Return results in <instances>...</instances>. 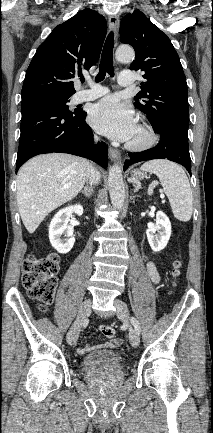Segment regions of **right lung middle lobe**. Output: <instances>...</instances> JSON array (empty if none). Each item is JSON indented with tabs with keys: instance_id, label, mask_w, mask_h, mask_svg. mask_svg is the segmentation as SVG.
<instances>
[{
	"instance_id": "1",
	"label": "right lung middle lobe",
	"mask_w": 213,
	"mask_h": 433,
	"mask_svg": "<svg viewBox=\"0 0 213 433\" xmlns=\"http://www.w3.org/2000/svg\"><path fill=\"white\" fill-rule=\"evenodd\" d=\"M70 96L71 95H59V94L46 93V92H37V93H33L30 95L24 96L22 98H32V99H37V100L49 102V103L57 105L62 110L66 111L68 113H72V114L79 113L80 110H78V109H75L74 111L69 110L68 103L70 101Z\"/></svg>"
}]
</instances>
